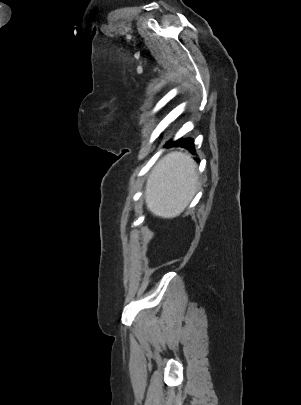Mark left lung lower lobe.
<instances>
[{
	"mask_svg": "<svg viewBox=\"0 0 301 405\" xmlns=\"http://www.w3.org/2000/svg\"><path fill=\"white\" fill-rule=\"evenodd\" d=\"M179 145H180V147L187 149L191 153H193V154L195 153L194 140L191 138H180L177 141H169V142H167L166 147H172V146L178 147Z\"/></svg>",
	"mask_w": 301,
	"mask_h": 405,
	"instance_id": "0a47b994",
	"label": "left lung lower lobe"
}]
</instances>
